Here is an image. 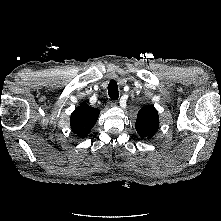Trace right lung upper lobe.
<instances>
[{
  "label": "right lung upper lobe",
  "instance_id": "1",
  "mask_svg": "<svg viewBox=\"0 0 221 221\" xmlns=\"http://www.w3.org/2000/svg\"><path fill=\"white\" fill-rule=\"evenodd\" d=\"M100 110L81 104L77 107L70 117V126L72 131L80 138H85L94 127Z\"/></svg>",
  "mask_w": 221,
  "mask_h": 221
}]
</instances>
